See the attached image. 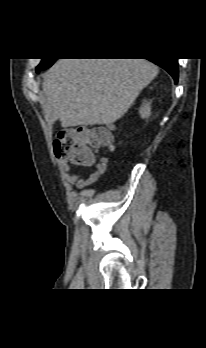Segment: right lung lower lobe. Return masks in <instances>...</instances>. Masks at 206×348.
Segmentation results:
<instances>
[{
  "label": "right lung lower lobe",
  "instance_id": "1",
  "mask_svg": "<svg viewBox=\"0 0 206 348\" xmlns=\"http://www.w3.org/2000/svg\"><path fill=\"white\" fill-rule=\"evenodd\" d=\"M155 64L165 69L174 79L175 83L178 81V62L175 58H162L150 60Z\"/></svg>",
  "mask_w": 206,
  "mask_h": 348
}]
</instances>
